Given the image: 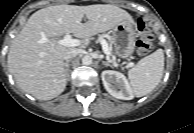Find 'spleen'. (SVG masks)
<instances>
[{
    "mask_svg": "<svg viewBox=\"0 0 194 133\" xmlns=\"http://www.w3.org/2000/svg\"><path fill=\"white\" fill-rule=\"evenodd\" d=\"M164 70L162 49L142 58L128 71L131 89L136 97L147 95L159 84Z\"/></svg>",
    "mask_w": 194,
    "mask_h": 133,
    "instance_id": "3e777b00",
    "label": "spleen"
}]
</instances>
